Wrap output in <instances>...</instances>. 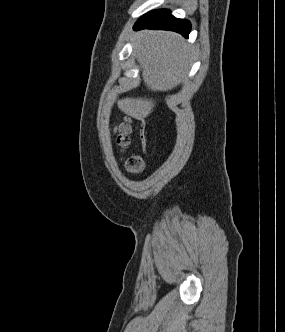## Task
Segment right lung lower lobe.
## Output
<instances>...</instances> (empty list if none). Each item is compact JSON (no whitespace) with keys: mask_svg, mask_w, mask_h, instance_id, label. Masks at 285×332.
Masks as SVG:
<instances>
[{"mask_svg":"<svg viewBox=\"0 0 285 332\" xmlns=\"http://www.w3.org/2000/svg\"><path fill=\"white\" fill-rule=\"evenodd\" d=\"M134 30L160 29L171 30L188 37L191 24L188 20H181L173 17L169 10H154L143 15L134 25Z\"/></svg>","mask_w":285,"mask_h":332,"instance_id":"obj_1","label":"right lung lower lobe"}]
</instances>
